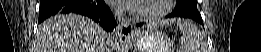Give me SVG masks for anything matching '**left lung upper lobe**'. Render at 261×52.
Wrapping results in <instances>:
<instances>
[{"mask_svg":"<svg viewBox=\"0 0 261 52\" xmlns=\"http://www.w3.org/2000/svg\"><path fill=\"white\" fill-rule=\"evenodd\" d=\"M174 12L192 17L195 20H202L197 9V0H178Z\"/></svg>","mask_w":261,"mask_h":52,"instance_id":"5c2ea615","label":"left lung upper lobe"}]
</instances>
